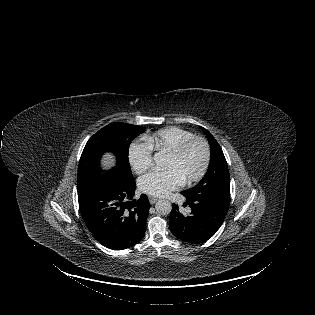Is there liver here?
<instances>
[{"label": "liver", "instance_id": "6515ba94", "mask_svg": "<svg viewBox=\"0 0 315 315\" xmlns=\"http://www.w3.org/2000/svg\"><path fill=\"white\" fill-rule=\"evenodd\" d=\"M115 158L112 154L107 153L103 156L101 160V165L104 169H110L115 166Z\"/></svg>", "mask_w": 315, "mask_h": 315}]
</instances>
